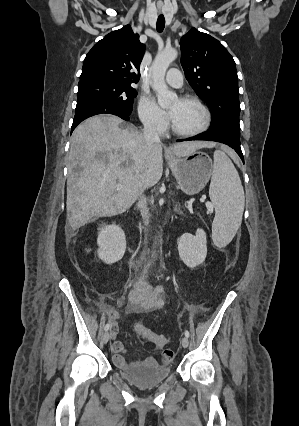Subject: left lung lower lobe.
Instances as JSON below:
<instances>
[{
  "label": "left lung lower lobe",
  "mask_w": 299,
  "mask_h": 426,
  "mask_svg": "<svg viewBox=\"0 0 299 426\" xmlns=\"http://www.w3.org/2000/svg\"><path fill=\"white\" fill-rule=\"evenodd\" d=\"M191 140H207V141H215L224 143L231 148H233L237 154L240 156L242 161L244 162L243 154L240 147V136L236 135L232 132L228 131H207L203 134L186 138V139H180L177 140L178 142L181 141H191Z\"/></svg>",
  "instance_id": "left-lung-lower-lobe-1"
}]
</instances>
